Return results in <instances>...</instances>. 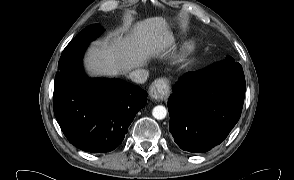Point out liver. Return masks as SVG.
<instances>
[{"mask_svg": "<svg viewBox=\"0 0 294 180\" xmlns=\"http://www.w3.org/2000/svg\"><path fill=\"white\" fill-rule=\"evenodd\" d=\"M171 45L166 20L147 18L136 23L131 34L91 46L84 60L85 67L92 76L125 74L145 66L151 57L165 55Z\"/></svg>", "mask_w": 294, "mask_h": 180, "instance_id": "obj_1", "label": "liver"}]
</instances>
